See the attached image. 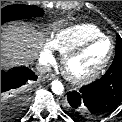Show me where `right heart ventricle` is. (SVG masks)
Listing matches in <instances>:
<instances>
[{"mask_svg":"<svg viewBox=\"0 0 122 122\" xmlns=\"http://www.w3.org/2000/svg\"><path fill=\"white\" fill-rule=\"evenodd\" d=\"M104 35L103 32L93 24H77L58 30L51 42L60 54L64 55L81 43Z\"/></svg>","mask_w":122,"mask_h":122,"instance_id":"right-heart-ventricle-1","label":"right heart ventricle"}]
</instances>
